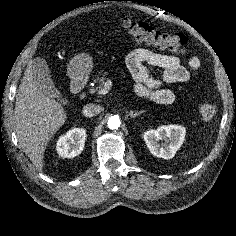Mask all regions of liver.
I'll list each match as a JSON object with an SVG mask.
<instances>
[{"label":"liver","mask_w":236,"mask_h":236,"mask_svg":"<svg viewBox=\"0 0 236 236\" xmlns=\"http://www.w3.org/2000/svg\"><path fill=\"white\" fill-rule=\"evenodd\" d=\"M33 61L24 72L15 102L18 143L38 171L43 169L49 139L65 123L67 113L55 98L44 94L32 73Z\"/></svg>","instance_id":"6515ba94"}]
</instances>
